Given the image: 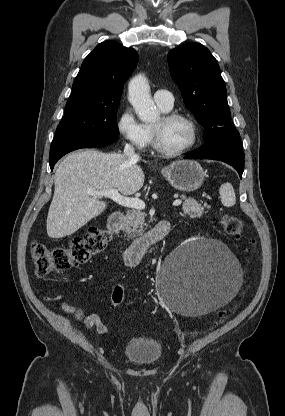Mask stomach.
<instances>
[{
  "instance_id": "obj_1",
  "label": "stomach",
  "mask_w": 285,
  "mask_h": 416,
  "mask_svg": "<svg viewBox=\"0 0 285 416\" xmlns=\"http://www.w3.org/2000/svg\"><path fill=\"white\" fill-rule=\"evenodd\" d=\"M162 176L168 180L169 184L180 190V192H195L204 182V172L193 160H177L170 166L163 168Z\"/></svg>"
}]
</instances>
